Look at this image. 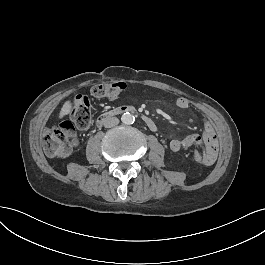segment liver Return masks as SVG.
<instances>
[{"instance_id":"liver-1","label":"liver","mask_w":265,"mask_h":265,"mask_svg":"<svg viewBox=\"0 0 265 265\" xmlns=\"http://www.w3.org/2000/svg\"><path fill=\"white\" fill-rule=\"evenodd\" d=\"M72 108V104L70 101H66L61 108V111L59 113V118H63L65 115L69 114Z\"/></svg>"}]
</instances>
